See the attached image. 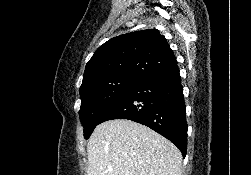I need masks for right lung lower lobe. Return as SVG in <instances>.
<instances>
[{"mask_svg":"<svg viewBox=\"0 0 251 175\" xmlns=\"http://www.w3.org/2000/svg\"><path fill=\"white\" fill-rule=\"evenodd\" d=\"M178 66L141 79L100 117L99 123L128 119L146 125L172 141L185 157L187 122Z\"/></svg>","mask_w":251,"mask_h":175,"instance_id":"98d812e1","label":"right lung lower lobe"}]
</instances>
